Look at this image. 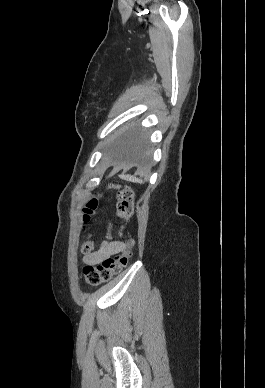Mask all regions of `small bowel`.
<instances>
[{"instance_id": "1", "label": "small bowel", "mask_w": 265, "mask_h": 388, "mask_svg": "<svg viewBox=\"0 0 265 388\" xmlns=\"http://www.w3.org/2000/svg\"><path fill=\"white\" fill-rule=\"evenodd\" d=\"M124 248L125 245L121 241L111 240L110 236H108L107 240L103 241L96 251L84 256L83 262L94 266L101 263L105 258L118 254Z\"/></svg>"}]
</instances>
